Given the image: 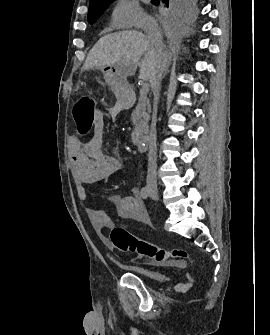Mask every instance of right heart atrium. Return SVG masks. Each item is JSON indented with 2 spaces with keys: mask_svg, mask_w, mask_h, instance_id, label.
I'll use <instances>...</instances> for the list:
<instances>
[{
  "mask_svg": "<svg viewBox=\"0 0 270 335\" xmlns=\"http://www.w3.org/2000/svg\"><path fill=\"white\" fill-rule=\"evenodd\" d=\"M116 27L139 29L140 25H158L139 5L137 0H117L113 10Z\"/></svg>",
  "mask_w": 270,
  "mask_h": 335,
  "instance_id": "d8ad5b80",
  "label": "right heart atrium"
}]
</instances>
